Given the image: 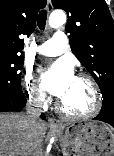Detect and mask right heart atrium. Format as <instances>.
<instances>
[{
    "mask_svg": "<svg viewBox=\"0 0 114 156\" xmlns=\"http://www.w3.org/2000/svg\"><path fill=\"white\" fill-rule=\"evenodd\" d=\"M22 88L27 100L36 106H44L47 96L29 70L22 76Z\"/></svg>",
    "mask_w": 114,
    "mask_h": 156,
    "instance_id": "1",
    "label": "right heart atrium"
}]
</instances>
